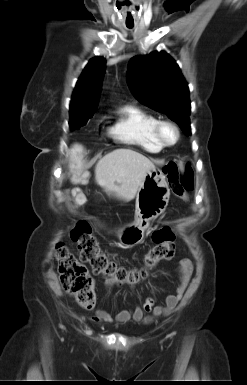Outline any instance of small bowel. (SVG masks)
Listing matches in <instances>:
<instances>
[{
	"mask_svg": "<svg viewBox=\"0 0 247 385\" xmlns=\"http://www.w3.org/2000/svg\"><path fill=\"white\" fill-rule=\"evenodd\" d=\"M193 272V263L190 259H182L178 265V285L173 294L167 296L164 305H155L153 297H148L143 306H136L132 309H124L119 311L115 316H112L106 310L97 307L95 309L92 320L94 322H118L125 323L129 320L138 322H150L157 316L170 315L179 305L190 282ZM106 290L113 286V282L109 279L105 282ZM145 312H152L151 317H145Z\"/></svg>",
	"mask_w": 247,
	"mask_h": 385,
	"instance_id": "small-bowel-1",
	"label": "small bowel"
}]
</instances>
